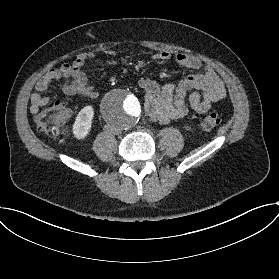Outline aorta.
I'll use <instances>...</instances> for the list:
<instances>
[{
  "label": "aorta",
  "mask_w": 279,
  "mask_h": 279,
  "mask_svg": "<svg viewBox=\"0 0 279 279\" xmlns=\"http://www.w3.org/2000/svg\"><path fill=\"white\" fill-rule=\"evenodd\" d=\"M101 110L107 124L117 131L135 126L142 115L139 98L128 89H115L108 93Z\"/></svg>",
  "instance_id": "1"
}]
</instances>
